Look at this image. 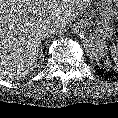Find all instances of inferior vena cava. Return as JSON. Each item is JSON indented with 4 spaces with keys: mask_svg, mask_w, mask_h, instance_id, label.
<instances>
[{
    "mask_svg": "<svg viewBox=\"0 0 118 118\" xmlns=\"http://www.w3.org/2000/svg\"><path fill=\"white\" fill-rule=\"evenodd\" d=\"M62 27L63 26H59L57 24L52 23L49 25L48 31L50 34L59 33L61 31Z\"/></svg>",
    "mask_w": 118,
    "mask_h": 118,
    "instance_id": "602c4592",
    "label": "inferior vena cava"
}]
</instances>
